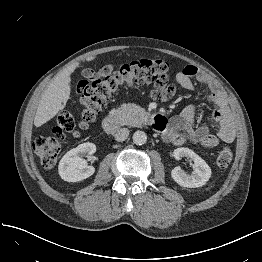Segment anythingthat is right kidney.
<instances>
[{"instance_id":"ca27d5eb","label":"right kidney","mask_w":262,"mask_h":262,"mask_svg":"<svg viewBox=\"0 0 262 262\" xmlns=\"http://www.w3.org/2000/svg\"><path fill=\"white\" fill-rule=\"evenodd\" d=\"M96 146L93 143H83L68 151L61 159L58 171L60 177L67 182L82 181L94 174V167L88 166L83 159L85 153L94 154Z\"/></svg>"}]
</instances>
